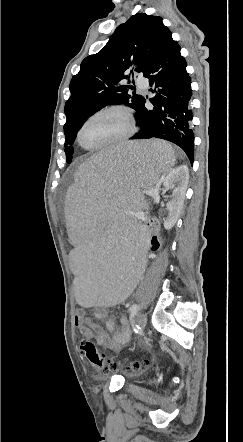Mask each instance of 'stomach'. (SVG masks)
<instances>
[{
  "instance_id": "1",
  "label": "stomach",
  "mask_w": 243,
  "mask_h": 442,
  "mask_svg": "<svg viewBox=\"0 0 243 442\" xmlns=\"http://www.w3.org/2000/svg\"><path fill=\"white\" fill-rule=\"evenodd\" d=\"M149 186H152L153 184H148Z\"/></svg>"
}]
</instances>
